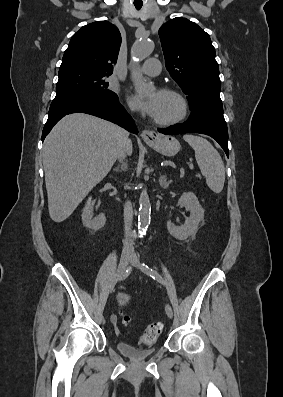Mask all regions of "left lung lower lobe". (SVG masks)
<instances>
[{"label": "left lung lower lobe", "instance_id": "left-lung-lower-lobe-1", "mask_svg": "<svg viewBox=\"0 0 283 397\" xmlns=\"http://www.w3.org/2000/svg\"><path fill=\"white\" fill-rule=\"evenodd\" d=\"M165 135L183 133H201L214 138L229 157L228 131L223 113L208 109L191 111L190 117L182 124H176L165 129H158Z\"/></svg>", "mask_w": 283, "mask_h": 397}]
</instances>
